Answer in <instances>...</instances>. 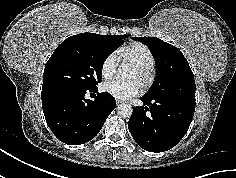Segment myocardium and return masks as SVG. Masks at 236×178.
Segmentation results:
<instances>
[{"label": "myocardium", "mask_w": 236, "mask_h": 178, "mask_svg": "<svg viewBox=\"0 0 236 178\" xmlns=\"http://www.w3.org/2000/svg\"><path fill=\"white\" fill-rule=\"evenodd\" d=\"M140 73V81L144 87H149L155 78L154 68L145 64L135 63L132 65Z\"/></svg>", "instance_id": "obj_1"}]
</instances>
